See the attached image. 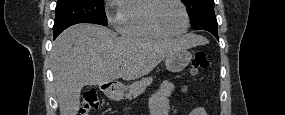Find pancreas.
I'll return each instance as SVG.
<instances>
[{"instance_id": "cf45deb5", "label": "pancreas", "mask_w": 285, "mask_h": 115, "mask_svg": "<svg viewBox=\"0 0 285 115\" xmlns=\"http://www.w3.org/2000/svg\"><path fill=\"white\" fill-rule=\"evenodd\" d=\"M151 83H152L151 77H145L139 81L133 82L131 85L126 87V90H128L126 97L131 98L132 95L137 96L142 94L146 90L147 86H149Z\"/></svg>"}]
</instances>
